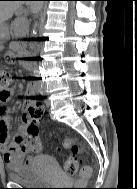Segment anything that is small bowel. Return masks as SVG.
Here are the masks:
<instances>
[{
  "label": "small bowel",
  "instance_id": "c3829d8e",
  "mask_svg": "<svg viewBox=\"0 0 137 189\" xmlns=\"http://www.w3.org/2000/svg\"><path fill=\"white\" fill-rule=\"evenodd\" d=\"M26 94L32 96L34 88L28 85ZM7 99H0V103H4ZM32 100L26 103V106L33 104ZM11 111L8 108L0 106V150L2 152L3 161L8 170L15 171L20 167L30 165L32 157L28 155L30 149L24 143V132L29 122L27 120L25 110L21 116L22 126L13 136L9 133Z\"/></svg>",
  "mask_w": 137,
  "mask_h": 189
}]
</instances>
